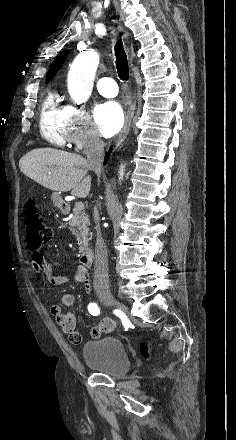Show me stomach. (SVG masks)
<instances>
[{
    "label": "stomach",
    "instance_id": "1",
    "mask_svg": "<svg viewBox=\"0 0 236 440\" xmlns=\"http://www.w3.org/2000/svg\"><path fill=\"white\" fill-rule=\"evenodd\" d=\"M51 199L57 208H59L61 211H65V204L59 192H54L51 196Z\"/></svg>",
    "mask_w": 236,
    "mask_h": 440
}]
</instances>
